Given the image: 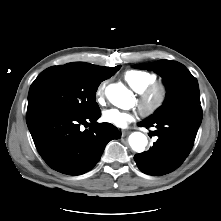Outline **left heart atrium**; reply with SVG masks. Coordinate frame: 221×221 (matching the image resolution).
I'll return each instance as SVG.
<instances>
[{
  "label": "left heart atrium",
  "mask_w": 221,
  "mask_h": 221,
  "mask_svg": "<svg viewBox=\"0 0 221 221\" xmlns=\"http://www.w3.org/2000/svg\"><path fill=\"white\" fill-rule=\"evenodd\" d=\"M134 119L135 115L133 113L115 108L103 112V120L105 122L121 128H125Z\"/></svg>",
  "instance_id": "obj_1"
}]
</instances>
